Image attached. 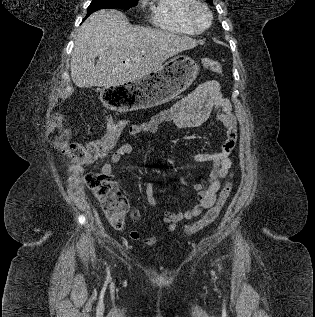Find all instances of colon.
I'll use <instances>...</instances> for the list:
<instances>
[{"mask_svg":"<svg viewBox=\"0 0 315 317\" xmlns=\"http://www.w3.org/2000/svg\"><path fill=\"white\" fill-rule=\"evenodd\" d=\"M202 64L205 69L212 73L220 74L222 72V66L216 60L205 58L202 60ZM127 125L128 122L126 120L113 121L102 139L87 145L72 143L67 147L66 153L77 164L92 163L108 153L112 142ZM86 183L100 202L103 213L110 224L117 229H122L125 223V215L129 208V201L117 187L112 174H107L102 169L90 172L86 175ZM231 189L232 182H227L222 188L216 204L199 221L187 229L188 234L198 232L218 218L231 193Z\"/></svg>","mask_w":315,"mask_h":317,"instance_id":"colon-1","label":"colon"}]
</instances>
